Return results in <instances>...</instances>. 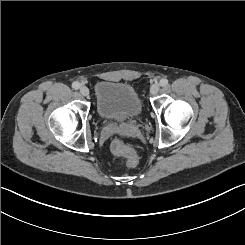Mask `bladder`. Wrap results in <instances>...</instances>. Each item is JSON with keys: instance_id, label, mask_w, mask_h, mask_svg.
Returning a JSON list of instances; mask_svg holds the SVG:
<instances>
[{"instance_id": "1", "label": "bladder", "mask_w": 245, "mask_h": 245, "mask_svg": "<svg viewBox=\"0 0 245 245\" xmlns=\"http://www.w3.org/2000/svg\"><path fill=\"white\" fill-rule=\"evenodd\" d=\"M96 106L107 120H127L138 115L141 101L128 84L103 81L96 85Z\"/></svg>"}]
</instances>
